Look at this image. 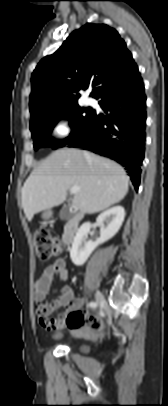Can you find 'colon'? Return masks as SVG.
Segmentation results:
<instances>
[{"instance_id":"5ec220e1","label":"colon","mask_w":168,"mask_h":406,"mask_svg":"<svg viewBox=\"0 0 168 406\" xmlns=\"http://www.w3.org/2000/svg\"><path fill=\"white\" fill-rule=\"evenodd\" d=\"M33 242L35 245V254L38 260L48 261L59 254L63 250L62 243L58 237L47 230H39L33 234ZM48 306H43L45 310ZM66 322L69 326L84 325L93 331L102 329V322L97 315H83L78 312L68 314Z\"/></svg>"}]
</instances>
